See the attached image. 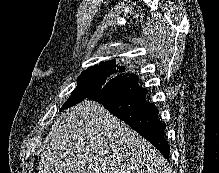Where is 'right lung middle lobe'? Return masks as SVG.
<instances>
[{
  "label": "right lung middle lobe",
  "instance_id": "obj_1",
  "mask_svg": "<svg viewBox=\"0 0 219 173\" xmlns=\"http://www.w3.org/2000/svg\"><path fill=\"white\" fill-rule=\"evenodd\" d=\"M91 66L83 71L78 77V85L71 93V97L64 103L62 109L76 105L85 98L92 95L109 94L119 90L129 73L125 72V67L116 64L115 60H110Z\"/></svg>",
  "mask_w": 219,
  "mask_h": 173
}]
</instances>
